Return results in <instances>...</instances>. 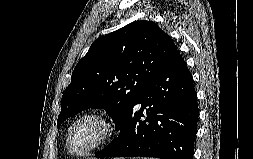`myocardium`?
Wrapping results in <instances>:
<instances>
[{
    "label": "myocardium",
    "instance_id": "1",
    "mask_svg": "<svg viewBox=\"0 0 253 159\" xmlns=\"http://www.w3.org/2000/svg\"><path fill=\"white\" fill-rule=\"evenodd\" d=\"M90 117H95L104 124V132L86 150H84L83 152H77L73 150L71 147V138H72L73 131L81 121ZM116 133H117L116 122L107 112L101 109H91L77 116L74 119V121L71 123V125L69 126L67 135H66V147L71 155L76 156V157H84L91 154L93 151L97 150L103 145L107 144L109 141H111L115 137Z\"/></svg>",
    "mask_w": 253,
    "mask_h": 159
}]
</instances>
